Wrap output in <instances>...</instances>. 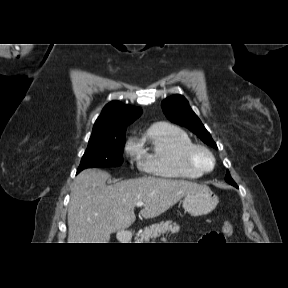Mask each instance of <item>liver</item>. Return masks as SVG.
Segmentation results:
<instances>
[{
    "instance_id": "liver-1",
    "label": "liver",
    "mask_w": 288,
    "mask_h": 288,
    "mask_svg": "<svg viewBox=\"0 0 288 288\" xmlns=\"http://www.w3.org/2000/svg\"><path fill=\"white\" fill-rule=\"evenodd\" d=\"M110 175L86 169L73 182L68 206V243H109L112 233H124L143 202L140 215L155 218L200 185L194 182L144 177L106 185Z\"/></svg>"
}]
</instances>
